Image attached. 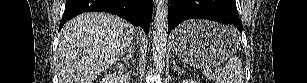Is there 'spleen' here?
I'll return each mask as SVG.
<instances>
[{"label": "spleen", "instance_id": "spleen-1", "mask_svg": "<svg viewBox=\"0 0 307 83\" xmlns=\"http://www.w3.org/2000/svg\"><path fill=\"white\" fill-rule=\"evenodd\" d=\"M203 74L215 83H244V72L241 59L232 57L225 64L222 71L212 72L211 69L206 67Z\"/></svg>", "mask_w": 307, "mask_h": 83}]
</instances>
